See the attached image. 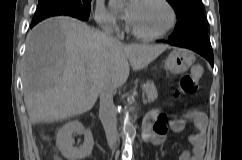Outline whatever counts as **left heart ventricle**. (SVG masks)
<instances>
[{
	"label": "left heart ventricle",
	"instance_id": "left-heart-ventricle-1",
	"mask_svg": "<svg viewBox=\"0 0 242 160\" xmlns=\"http://www.w3.org/2000/svg\"><path fill=\"white\" fill-rule=\"evenodd\" d=\"M129 22L140 33L156 34L168 26L170 12L158 0H138L133 17Z\"/></svg>",
	"mask_w": 242,
	"mask_h": 160
}]
</instances>
